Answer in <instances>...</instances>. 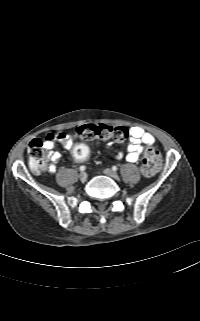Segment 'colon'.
<instances>
[{"instance_id": "1", "label": "colon", "mask_w": 200, "mask_h": 321, "mask_svg": "<svg viewBox=\"0 0 200 321\" xmlns=\"http://www.w3.org/2000/svg\"><path fill=\"white\" fill-rule=\"evenodd\" d=\"M127 130L123 127H113L108 125L86 124L78 127L74 137L85 140H114L122 142L127 137ZM70 153L77 163L84 162L89 154L90 147L85 142H78L71 146ZM29 165L33 172L40 173L47 169V153L44 142L41 139H34L28 146ZM162 159L159 151L148 146L144 151L141 171L144 176L151 177L155 175L161 167Z\"/></svg>"}]
</instances>
